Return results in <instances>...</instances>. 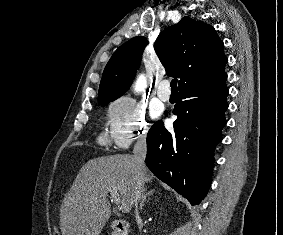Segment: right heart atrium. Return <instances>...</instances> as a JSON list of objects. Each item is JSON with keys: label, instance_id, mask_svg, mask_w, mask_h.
<instances>
[{"label": "right heart atrium", "instance_id": "d8ad5b80", "mask_svg": "<svg viewBox=\"0 0 283 235\" xmlns=\"http://www.w3.org/2000/svg\"><path fill=\"white\" fill-rule=\"evenodd\" d=\"M148 129L144 111L135 100L122 96L111 104L108 132L115 147L127 149L132 142L145 138Z\"/></svg>", "mask_w": 283, "mask_h": 235}]
</instances>
